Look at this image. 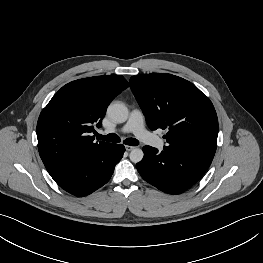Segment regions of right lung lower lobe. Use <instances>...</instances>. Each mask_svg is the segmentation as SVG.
Instances as JSON below:
<instances>
[{"mask_svg": "<svg viewBox=\"0 0 263 263\" xmlns=\"http://www.w3.org/2000/svg\"><path fill=\"white\" fill-rule=\"evenodd\" d=\"M124 152L123 145L110 144L54 180L65 191L76 196H86L109 181Z\"/></svg>", "mask_w": 263, "mask_h": 263, "instance_id": "98d812e1", "label": "right lung lower lobe"}]
</instances>
